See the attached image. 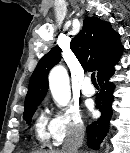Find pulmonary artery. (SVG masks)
<instances>
[{"label": "pulmonary artery", "instance_id": "1", "mask_svg": "<svg viewBox=\"0 0 130 153\" xmlns=\"http://www.w3.org/2000/svg\"><path fill=\"white\" fill-rule=\"evenodd\" d=\"M81 92L83 95L88 96V97L93 96L95 93V89L91 85L90 79L87 77L83 81V84L81 86Z\"/></svg>", "mask_w": 130, "mask_h": 153}]
</instances>
